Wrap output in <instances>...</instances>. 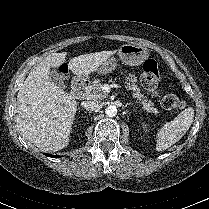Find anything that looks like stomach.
I'll list each match as a JSON object with an SVG mask.
<instances>
[{
  "instance_id": "1",
  "label": "stomach",
  "mask_w": 209,
  "mask_h": 209,
  "mask_svg": "<svg viewBox=\"0 0 209 209\" xmlns=\"http://www.w3.org/2000/svg\"><path fill=\"white\" fill-rule=\"evenodd\" d=\"M118 55L121 60L130 66H138L144 63L149 57V51L146 47L137 44H124L120 47ZM116 67L115 58H108L99 68L100 74L111 72Z\"/></svg>"
}]
</instances>
